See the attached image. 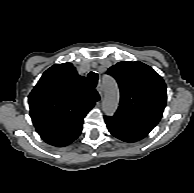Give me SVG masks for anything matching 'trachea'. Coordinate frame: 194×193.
I'll return each mask as SVG.
<instances>
[{
	"label": "trachea",
	"instance_id": "3493384b",
	"mask_svg": "<svg viewBox=\"0 0 194 193\" xmlns=\"http://www.w3.org/2000/svg\"><path fill=\"white\" fill-rule=\"evenodd\" d=\"M98 82V75L95 72H90L88 74V83L93 86L96 87Z\"/></svg>",
	"mask_w": 194,
	"mask_h": 193
}]
</instances>
